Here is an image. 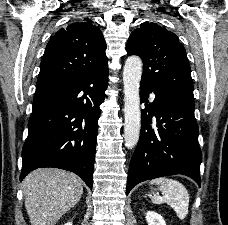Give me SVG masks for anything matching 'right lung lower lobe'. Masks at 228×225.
Wrapping results in <instances>:
<instances>
[{
	"label": "right lung lower lobe",
	"instance_id": "98d812e1",
	"mask_svg": "<svg viewBox=\"0 0 228 225\" xmlns=\"http://www.w3.org/2000/svg\"><path fill=\"white\" fill-rule=\"evenodd\" d=\"M107 86L105 66L76 81L36 90L20 181L36 168L54 167L74 172L92 189L99 106Z\"/></svg>",
	"mask_w": 228,
	"mask_h": 225
}]
</instances>
